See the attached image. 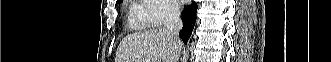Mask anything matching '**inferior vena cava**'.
Here are the masks:
<instances>
[{
  "instance_id": "1",
  "label": "inferior vena cava",
  "mask_w": 331,
  "mask_h": 62,
  "mask_svg": "<svg viewBox=\"0 0 331 62\" xmlns=\"http://www.w3.org/2000/svg\"><path fill=\"white\" fill-rule=\"evenodd\" d=\"M183 26L180 18V10L177 6L171 5L168 7L165 18L164 29L169 33L174 42H180L179 31Z\"/></svg>"
}]
</instances>
